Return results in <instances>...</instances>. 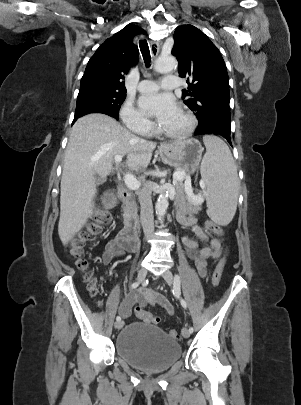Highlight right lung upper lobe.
I'll list each match as a JSON object with an SVG mask.
<instances>
[{
	"label": "right lung upper lobe",
	"mask_w": 301,
	"mask_h": 405,
	"mask_svg": "<svg viewBox=\"0 0 301 405\" xmlns=\"http://www.w3.org/2000/svg\"><path fill=\"white\" fill-rule=\"evenodd\" d=\"M145 34L136 26H126L107 39L89 60L81 79L79 94L85 92L126 93L124 76L138 58L133 37Z\"/></svg>",
	"instance_id": "right-lung-upper-lobe-1"
}]
</instances>
